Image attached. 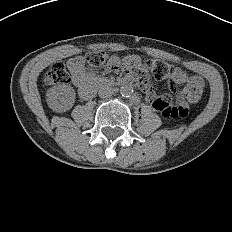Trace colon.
Masks as SVG:
<instances>
[{"instance_id":"5ec220e1","label":"colon","mask_w":232,"mask_h":232,"mask_svg":"<svg viewBox=\"0 0 232 232\" xmlns=\"http://www.w3.org/2000/svg\"><path fill=\"white\" fill-rule=\"evenodd\" d=\"M79 61L82 64H87L89 67L100 68L103 67L104 63L107 61V55L103 51H92L87 53L84 57L79 58ZM146 62V70H148L157 80L169 78L174 73L175 69L167 62L156 59L146 60ZM44 81L47 85L68 83L70 77L65 64L61 62L53 64L46 73ZM202 92L203 88L195 85H188L184 90L186 99L190 103H197L201 99ZM156 104L160 105V102H157ZM187 113L188 111L185 106H173L170 103L163 111V114L170 118L185 117Z\"/></svg>"}]
</instances>
